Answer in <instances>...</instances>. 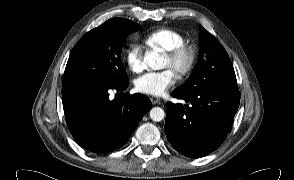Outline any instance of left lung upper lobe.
<instances>
[{
  "instance_id": "left-lung-upper-lobe-1",
  "label": "left lung upper lobe",
  "mask_w": 294,
  "mask_h": 180,
  "mask_svg": "<svg viewBox=\"0 0 294 180\" xmlns=\"http://www.w3.org/2000/svg\"><path fill=\"white\" fill-rule=\"evenodd\" d=\"M199 34V61L191 76L176 89L182 92L218 88L238 90L234 68L224 47L204 28Z\"/></svg>"
}]
</instances>
